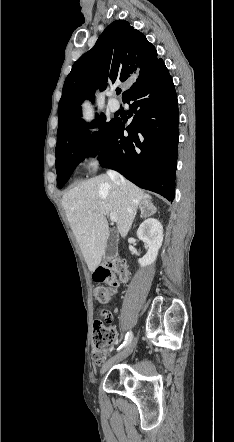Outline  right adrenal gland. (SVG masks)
Instances as JSON below:
<instances>
[{"label": "right adrenal gland", "instance_id": "obj_1", "mask_svg": "<svg viewBox=\"0 0 234 442\" xmlns=\"http://www.w3.org/2000/svg\"><path fill=\"white\" fill-rule=\"evenodd\" d=\"M145 203H147V202H145ZM143 204H144V203H141V204H140V210H141V215H140V217H141V218L144 216V207H143ZM154 209H155V207H154ZM155 210H156V209H155Z\"/></svg>", "mask_w": 234, "mask_h": 442}]
</instances>
